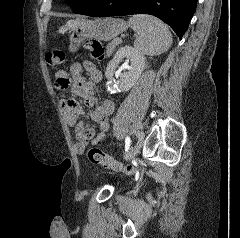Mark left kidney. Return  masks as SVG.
<instances>
[{
    "label": "left kidney",
    "mask_w": 240,
    "mask_h": 238,
    "mask_svg": "<svg viewBox=\"0 0 240 238\" xmlns=\"http://www.w3.org/2000/svg\"><path fill=\"white\" fill-rule=\"evenodd\" d=\"M130 61L128 71L120 75L118 81L113 80L114 71L122 59ZM145 67V57L136 48L131 46L121 47L113 59L108 63L105 77L108 79L107 90L111 93L129 91L140 77Z\"/></svg>",
    "instance_id": "obj_1"
}]
</instances>
